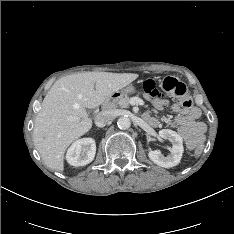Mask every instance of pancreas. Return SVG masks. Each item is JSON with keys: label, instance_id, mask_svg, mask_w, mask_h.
I'll use <instances>...</instances> for the list:
<instances>
[{"label": "pancreas", "instance_id": "pancreas-1", "mask_svg": "<svg viewBox=\"0 0 234 234\" xmlns=\"http://www.w3.org/2000/svg\"><path fill=\"white\" fill-rule=\"evenodd\" d=\"M129 101L130 98L125 95L124 97H121L117 102L113 103V102H109L105 105V107L107 109H115L117 107L120 108H128L129 107Z\"/></svg>", "mask_w": 234, "mask_h": 234}]
</instances>
